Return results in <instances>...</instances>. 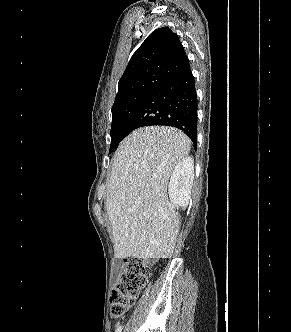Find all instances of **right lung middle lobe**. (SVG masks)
I'll list each match as a JSON object with an SVG mask.
<instances>
[{"label":"right lung middle lobe","instance_id":"dd1d6c3e","mask_svg":"<svg viewBox=\"0 0 291 332\" xmlns=\"http://www.w3.org/2000/svg\"><path fill=\"white\" fill-rule=\"evenodd\" d=\"M158 84H153L149 89L138 91L115 100L112 107L111 147L109 153L116 149L118 144L126 136L125 128L128 121Z\"/></svg>","mask_w":291,"mask_h":332}]
</instances>
